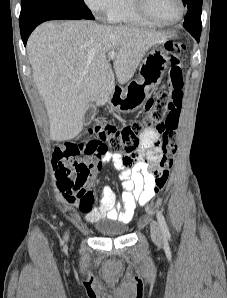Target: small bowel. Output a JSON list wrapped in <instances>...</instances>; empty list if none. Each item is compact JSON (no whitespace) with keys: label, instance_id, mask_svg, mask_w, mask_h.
<instances>
[{"label":"small bowel","instance_id":"c3829d8e","mask_svg":"<svg viewBox=\"0 0 227 298\" xmlns=\"http://www.w3.org/2000/svg\"><path fill=\"white\" fill-rule=\"evenodd\" d=\"M147 103H156V98H147ZM153 104H142L141 111L149 115ZM165 125H155V129L146 131L141 138V146L132 153L131 150H107L110 142H61V146L51 154L57 170L58 185L62 191L75 184L81 177L83 182L74 191L80 211L88 222L100 219L129 222L137 209L153 197L151 185L155 178L152 173L160 174L159 157L162 152L159 146V130ZM84 139H91V134H84ZM111 163L118 173L123 188L121 200H117L113 189L105 186L100 195V203L93 207L92 188L96 176L103 165Z\"/></svg>","mask_w":227,"mask_h":298}]
</instances>
